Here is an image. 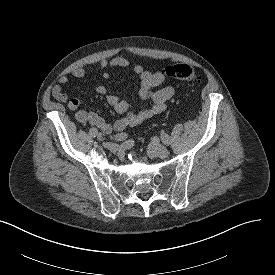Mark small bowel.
<instances>
[{
  "label": "small bowel",
  "mask_w": 275,
  "mask_h": 275,
  "mask_svg": "<svg viewBox=\"0 0 275 275\" xmlns=\"http://www.w3.org/2000/svg\"><path fill=\"white\" fill-rule=\"evenodd\" d=\"M130 65V61L125 57H115L113 59H101L98 65L91 70L83 67H77L70 71V74L76 78H82L90 73H100L103 79L110 78L106 71L108 68H124ZM133 72L140 79L139 96L143 101L151 102V105L139 111L129 109L127 101L121 99L115 94L109 93L107 88L99 85L95 88L96 93L105 96L115 113L121 115L113 124L107 123L98 114L80 107V101L76 98H70L63 90L61 85L69 82V77L62 75L58 79V84L52 88V96L63 103H66L69 110L75 111V118L78 122L90 124L102 131L104 134H110L113 130L122 132L127 128L136 126L146 120L152 119L162 114L167 108V102L175 96L176 89L172 85H166L158 90L156 87L165 82V75L162 71H150L142 65L133 66Z\"/></svg>",
  "instance_id": "obj_1"
}]
</instances>
